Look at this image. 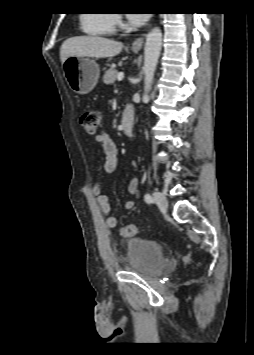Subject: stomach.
Segmentation results:
<instances>
[{"label": "stomach", "mask_w": 254, "mask_h": 355, "mask_svg": "<svg viewBox=\"0 0 254 355\" xmlns=\"http://www.w3.org/2000/svg\"><path fill=\"white\" fill-rule=\"evenodd\" d=\"M64 74L71 89L78 94H87L99 78V66L89 57H69L63 63Z\"/></svg>", "instance_id": "1"}]
</instances>
